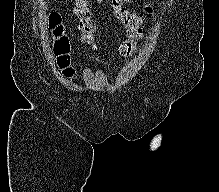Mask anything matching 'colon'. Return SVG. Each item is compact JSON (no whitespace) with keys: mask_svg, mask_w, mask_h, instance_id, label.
<instances>
[{"mask_svg":"<svg viewBox=\"0 0 219 192\" xmlns=\"http://www.w3.org/2000/svg\"><path fill=\"white\" fill-rule=\"evenodd\" d=\"M76 3L85 6L87 0H76ZM83 26L86 30L94 27V22L90 18H84ZM48 25L53 40V51L56 57V62L65 77H72L74 69L71 65V40L67 32V28L62 21V18L57 13H51L48 19ZM136 48L135 39L128 38L120 46L121 54L131 56Z\"/></svg>","mask_w":219,"mask_h":192,"instance_id":"obj_1","label":"colon"}]
</instances>
